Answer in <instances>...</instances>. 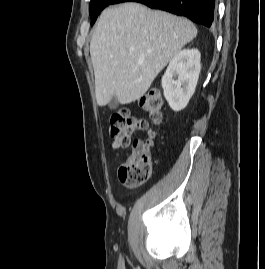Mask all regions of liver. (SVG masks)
I'll return each instance as SVG.
<instances>
[{"label": "liver", "mask_w": 265, "mask_h": 269, "mask_svg": "<svg viewBox=\"0 0 265 269\" xmlns=\"http://www.w3.org/2000/svg\"><path fill=\"white\" fill-rule=\"evenodd\" d=\"M196 35L188 19L139 3L105 9L90 42L97 104L105 106L112 97L121 104L140 99Z\"/></svg>", "instance_id": "1"}]
</instances>
